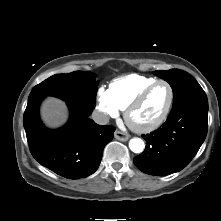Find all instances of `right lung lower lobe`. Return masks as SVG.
Masks as SVG:
<instances>
[{
	"label": "right lung lower lobe",
	"mask_w": 221,
	"mask_h": 221,
	"mask_svg": "<svg viewBox=\"0 0 221 221\" xmlns=\"http://www.w3.org/2000/svg\"><path fill=\"white\" fill-rule=\"evenodd\" d=\"M42 99L28 102L23 116L33 157L44 167L68 179L93 174L100 165L105 145L113 139L115 129L91 120L92 109L71 103H67L70 110L68 123L57 130L47 129L39 118Z\"/></svg>",
	"instance_id": "98d812e1"
}]
</instances>
